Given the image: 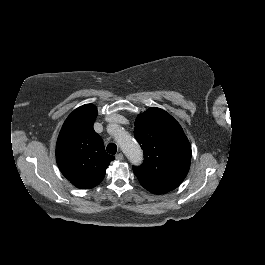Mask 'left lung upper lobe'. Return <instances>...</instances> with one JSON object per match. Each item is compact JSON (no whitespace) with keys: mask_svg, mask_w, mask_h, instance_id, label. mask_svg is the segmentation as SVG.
I'll return each instance as SVG.
<instances>
[{"mask_svg":"<svg viewBox=\"0 0 265 265\" xmlns=\"http://www.w3.org/2000/svg\"><path fill=\"white\" fill-rule=\"evenodd\" d=\"M134 136L144 152L143 164L133 167L141 185L165 193L177 188L191 162V146L180 124L166 111L150 108L138 115Z\"/></svg>","mask_w":265,"mask_h":265,"instance_id":"1","label":"left lung upper lobe"}]
</instances>
